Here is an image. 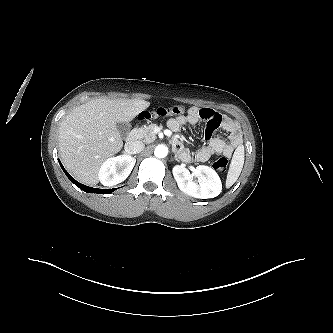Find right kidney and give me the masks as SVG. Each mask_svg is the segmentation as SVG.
<instances>
[{
	"instance_id": "obj_1",
	"label": "right kidney",
	"mask_w": 333,
	"mask_h": 333,
	"mask_svg": "<svg viewBox=\"0 0 333 333\" xmlns=\"http://www.w3.org/2000/svg\"><path fill=\"white\" fill-rule=\"evenodd\" d=\"M136 159L129 155L108 158L99 169V180L104 186L123 182L131 173Z\"/></svg>"
}]
</instances>
